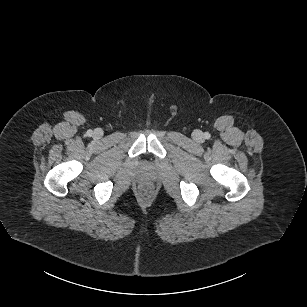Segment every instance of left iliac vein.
<instances>
[{"label": "left iliac vein", "instance_id": "obj_1", "mask_svg": "<svg viewBox=\"0 0 307 307\" xmlns=\"http://www.w3.org/2000/svg\"><path fill=\"white\" fill-rule=\"evenodd\" d=\"M193 138L197 142H201L203 140V135L200 131L196 130V131L193 132Z\"/></svg>", "mask_w": 307, "mask_h": 307}]
</instances>
